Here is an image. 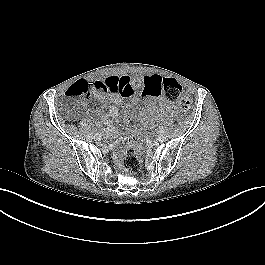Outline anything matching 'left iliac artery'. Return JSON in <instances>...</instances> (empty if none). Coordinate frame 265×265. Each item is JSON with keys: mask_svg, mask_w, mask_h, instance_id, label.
Listing matches in <instances>:
<instances>
[{"mask_svg": "<svg viewBox=\"0 0 265 265\" xmlns=\"http://www.w3.org/2000/svg\"><path fill=\"white\" fill-rule=\"evenodd\" d=\"M159 131L162 132V133H164L165 129L163 127H160L159 128Z\"/></svg>", "mask_w": 265, "mask_h": 265, "instance_id": "obj_1", "label": "left iliac artery"}]
</instances>
